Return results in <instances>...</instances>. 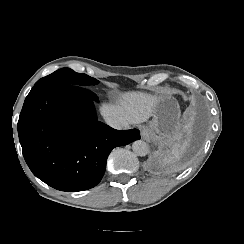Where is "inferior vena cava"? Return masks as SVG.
<instances>
[{
    "label": "inferior vena cava",
    "mask_w": 244,
    "mask_h": 244,
    "mask_svg": "<svg viewBox=\"0 0 244 244\" xmlns=\"http://www.w3.org/2000/svg\"><path fill=\"white\" fill-rule=\"evenodd\" d=\"M104 120L106 124L118 130L128 129L130 126V122L126 119H119L117 117L105 116Z\"/></svg>",
    "instance_id": "inferior-vena-cava-1"
}]
</instances>
